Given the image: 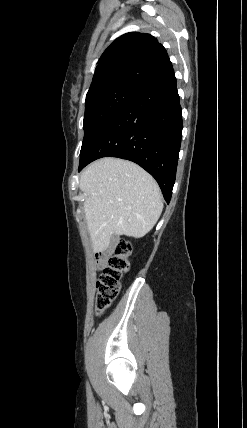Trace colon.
Returning a JSON list of instances; mask_svg holds the SVG:
<instances>
[{
  "mask_svg": "<svg viewBox=\"0 0 247 428\" xmlns=\"http://www.w3.org/2000/svg\"><path fill=\"white\" fill-rule=\"evenodd\" d=\"M132 247L129 241L121 239L109 250L99 253L102 272L97 281V313H103L117 297L121 280L129 270V256Z\"/></svg>",
  "mask_w": 247,
  "mask_h": 428,
  "instance_id": "5ec220e1",
  "label": "colon"
}]
</instances>
